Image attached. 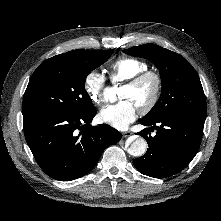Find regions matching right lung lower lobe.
Returning a JSON list of instances; mask_svg holds the SVG:
<instances>
[{
    "label": "right lung lower lobe",
    "instance_id": "98d812e1",
    "mask_svg": "<svg viewBox=\"0 0 221 221\" xmlns=\"http://www.w3.org/2000/svg\"><path fill=\"white\" fill-rule=\"evenodd\" d=\"M96 109L83 115L23 114L24 135L38 165L50 177L69 181L91 171L105 148L121 139L111 126L90 123Z\"/></svg>",
    "mask_w": 221,
    "mask_h": 221
}]
</instances>
